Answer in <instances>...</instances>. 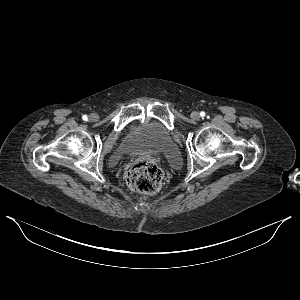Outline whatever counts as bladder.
<instances>
[{
    "instance_id": "1",
    "label": "bladder",
    "mask_w": 300,
    "mask_h": 300,
    "mask_svg": "<svg viewBox=\"0 0 300 300\" xmlns=\"http://www.w3.org/2000/svg\"><path fill=\"white\" fill-rule=\"evenodd\" d=\"M125 148L129 152L179 155L170 131L159 122L145 123L133 129L126 138Z\"/></svg>"
}]
</instances>
